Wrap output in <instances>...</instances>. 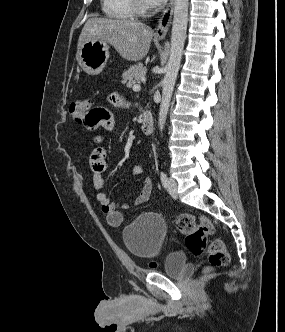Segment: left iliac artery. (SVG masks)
I'll list each match as a JSON object with an SVG mask.
<instances>
[{
    "label": "left iliac artery",
    "mask_w": 285,
    "mask_h": 332,
    "mask_svg": "<svg viewBox=\"0 0 285 332\" xmlns=\"http://www.w3.org/2000/svg\"><path fill=\"white\" fill-rule=\"evenodd\" d=\"M160 179H161L162 185L166 188L167 187V176L163 171L160 174Z\"/></svg>",
    "instance_id": "1"
}]
</instances>
